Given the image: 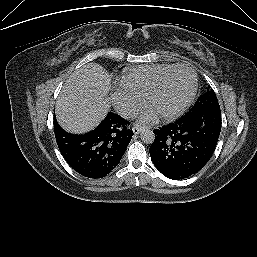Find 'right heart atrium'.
Returning a JSON list of instances; mask_svg holds the SVG:
<instances>
[{
    "mask_svg": "<svg viewBox=\"0 0 257 257\" xmlns=\"http://www.w3.org/2000/svg\"><path fill=\"white\" fill-rule=\"evenodd\" d=\"M112 102L125 118H132L144 106L143 98L124 89H120L112 95Z\"/></svg>",
    "mask_w": 257,
    "mask_h": 257,
    "instance_id": "obj_1",
    "label": "right heart atrium"
}]
</instances>
